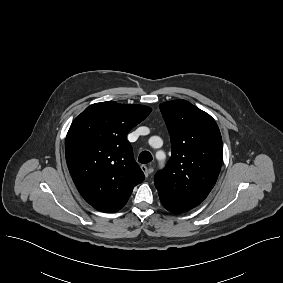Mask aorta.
Segmentation results:
<instances>
[{
  "label": "aorta",
  "mask_w": 283,
  "mask_h": 283,
  "mask_svg": "<svg viewBox=\"0 0 283 283\" xmlns=\"http://www.w3.org/2000/svg\"><path fill=\"white\" fill-rule=\"evenodd\" d=\"M155 141H161V139L159 137H154Z\"/></svg>",
  "instance_id": "obj_1"
}]
</instances>
